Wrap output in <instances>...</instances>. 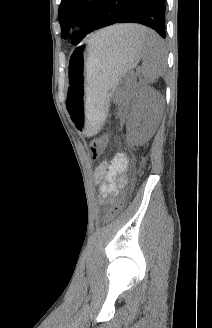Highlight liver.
<instances>
[{"label": "liver", "instance_id": "6515ba94", "mask_svg": "<svg viewBox=\"0 0 212 328\" xmlns=\"http://www.w3.org/2000/svg\"><path fill=\"white\" fill-rule=\"evenodd\" d=\"M135 25H114L103 29L97 32L92 38L106 41V40H113V39H120V40H134L135 33H134Z\"/></svg>", "mask_w": 212, "mask_h": 328}]
</instances>
